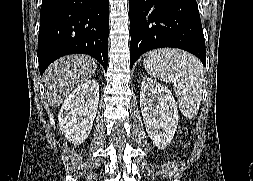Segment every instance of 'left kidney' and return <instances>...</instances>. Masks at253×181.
<instances>
[{
    "label": "left kidney",
    "instance_id": "1",
    "mask_svg": "<svg viewBox=\"0 0 253 181\" xmlns=\"http://www.w3.org/2000/svg\"><path fill=\"white\" fill-rule=\"evenodd\" d=\"M140 107L146 131L153 144L158 149H165L173 139L179 119L171 91L163 84L144 77L141 83Z\"/></svg>",
    "mask_w": 253,
    "mask_h": 181
}]
</instances>
